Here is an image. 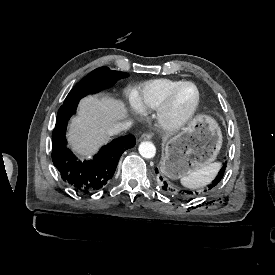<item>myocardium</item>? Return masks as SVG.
Instances as JSON below:
<instances>
[{
	"instance_id": "f54148a6",
	"label": "myocardium",
	"mask_w": 275,
	"mask_h": 275,
	"mask_svg": "<svg viewBox=\"0 0 275 275\" xmlns=\"http://www.w3.org/2000/svg\"><path fill=\"white\" fill-rule=\"evenodd\" d=\"M185 85H191L195 90V100L193 104L183 113L175 115L173 113L175 98L178 90ZM201 94L198 86L191 81H181L172 87L164 103L157 111V122L165 131H177L188 124L199 108Z\"/></svg>"
}]
</instances>
